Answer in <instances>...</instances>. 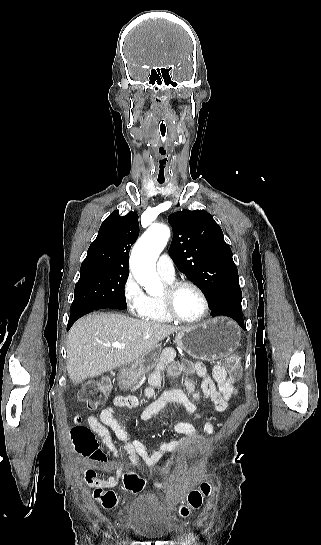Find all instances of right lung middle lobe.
I'll list each match as a JSON object with an SVG mask.
<instances>
[{
	"label": "right lung middle lobe",
	"mask_w": 321,
	"mask_h": 545,
	"mask_svg": "<svg viewBox=\"0 0 321 545\" xmlns=\"http://www.w3.org/2000/svg\"><path fill=\"white\" fill-rule=\"evenodd\" d=\"M128 275L129 271L80 269L70 313L89 308L94 310L112 308L113 305L125 302L124 287Z\"/></svg>",
	"instance_id": "dd1d6c3e"
}]
</instances>
